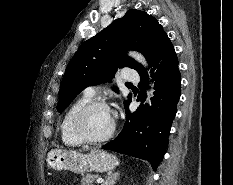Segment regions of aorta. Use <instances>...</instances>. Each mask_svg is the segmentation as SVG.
<instances>
[{
  "mask_svg": "<svg viewBox=\"0 0 233 185\" xmlns=\"http://www.w3.org/2000/svg\"><path fill=\"white\" fill-rule=\"evenodd\" d=\"M129 55L131 56V57H133L134 59H136L138 62H140L142 65H144L145 67L147 66V62H146V60H145V58L141 55V54H139V53H137V52H130L129 53ZM153 89H151L149 92H148V97H147V102H150V97L153 95Z\"/></svg>",
  "mask_w": 233,
  "mask_h": 185,
  "instance_id": "obj_1",
  "label": "aorta"
}]
</instances>
